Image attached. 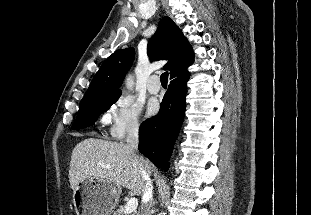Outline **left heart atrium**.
Instances as JSON below:
<instances>
[{"label":"left heart atrium","mask_w":311,"mask_h":215,"mask_svg":"<svg viewBox=\"0 0 311 215\" xmlns=\"http://www.w3.org/2000/svg\"><path fill=\"white\" fill-rule=\"evenodd\" d=\"M158 109H159L158 103L156 101H151L147 106V113L149 116L154 115L155 113H157Z\"/></svg>","instance_id":"39dd6f15"}]
</instances>
